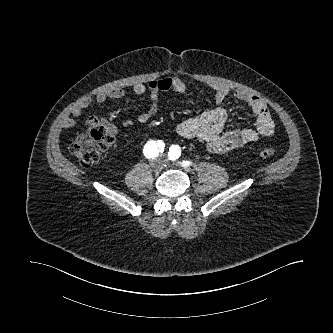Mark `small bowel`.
<instances>
[{"mask_svg": "<svg viewBox=\"0 0 333 333\" xmlns=\"http://www.w3.org/2000/svg\"><path fill=\"white\" fill-rule=\"evenodd\" d=\"M214 90V100L217 105L224 102L230 94V89L221 84L211 86ZM185 81L177 76H167L160 79H153L147 85L138 83L134 85L133 92L136 95L148 94L149 106L138 115V121L147 122L158 111V100L161 92L173 91L177 94L187 92ZM233 95L238 100L244 102L255 116L254 128H242L224 131L227 120L226 111L217 106L209 109L200 115L191 117L181 122L176 132L179 136L188 139H199L204 142L207 149L212 154H225L235 148L241 147L247 143L254 142L260 137L271 136L275 132V123L271 113L264 101L253 94L243 90H235ZM125 91L121 88H111L105 92L98 93L94 99L85 98L81 100L72 110V116L78 117L82 111L92 104L102 105L108 99L119 100L124 98ZM86 126L101 125L117 133L116 126L107 118H97L90 116L85 121ZM75 125V119L67 117L63 121L64 128H71Z\"/></svg>", "mask_w": 333, "mask_h": 333, "instance_id": "obj_1", "label": "small bowel"}]
</instances>
